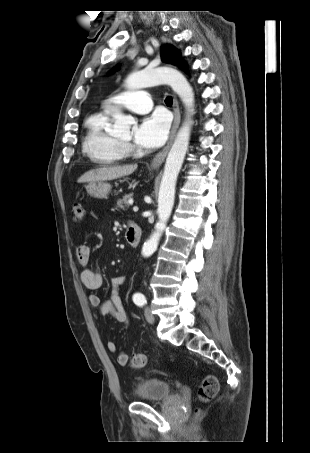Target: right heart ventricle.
<instances>
[{
  "label": "right heart ventricle",
  "instance_id": "right-heart-ventricle-1",
  "mask_svg": "<svg viewBox=\"0 0 310 453\" xmlns=\"http://www.w3.org/2000/svg\"><path fill=\"white\" fill-rule=\"evenodd\" d=\"M109 123L108 110L93 113L85 121L82 150L91 162L98 165L120 163L127 154L125 145L108 132Z\"/></svg>",
  "mask_w": 310,
  "mask_h": 453
}]
</instances>
